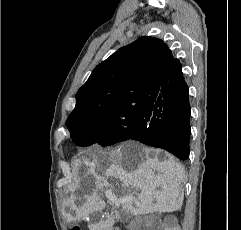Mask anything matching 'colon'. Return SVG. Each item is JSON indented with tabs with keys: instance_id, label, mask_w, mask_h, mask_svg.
I'll list each match as a JSON object with an SVG mask.
<instances>
[{
	"instance_id": "colon-1",
	"label": "colon",
	"mask_w": 241,
	"mask_h": 230,
	"mask_svg": "<svg viewBox=\"0 0 241 230\" xmlns=\"http://www.w3.org/2000/svg\"><path fill=\"white\" fill-rule=\"evenodd\" d=\"M71 230H80L79 228H77V227H74V228H72Z\"/></svg>"
}]
</instances>
